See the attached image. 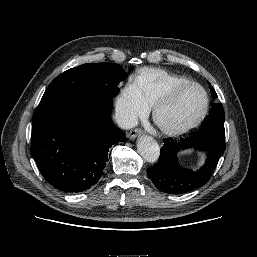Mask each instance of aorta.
Wrapping results in <instances>:
<instances>
[{"mask_svg":"<svg viewBox=\"0 0 257 257\" xmlns=\"http://www.w3.org/2000/svg\"><path fill=\"white\" fill-rule=\"evenodd\" d=\"M137 149L141 157L149 163H154L159 158L160 147L156 140L150 136H141L137 141Z\"/></svg>","mask_w":257,"mask_h":257,"instance_id":"1","label":"aorta"}]
</instances>
